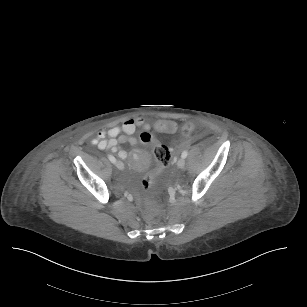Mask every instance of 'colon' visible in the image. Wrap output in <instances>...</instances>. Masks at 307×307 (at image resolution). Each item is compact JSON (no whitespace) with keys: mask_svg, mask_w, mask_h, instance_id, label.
<instances>
[{"mask_svg":"<svg viewBox=\"0 0 307 307\" xmlns=\"http://www.w3.org/2000/svg\"><path fill=\"white\" fill-rule=\"evenodd\" d=\"M154 130L157 133H175L178 130V123L175 120H157L154 123ZM192 131L193 124L189 121L185 122L181 127V133L183 135H189ZM140 137L144 142L152 145L153 155L158 163L156 170H150L148 176L141 178L143 189L149 190L153 183L161 178L167 170V166L170 164L172 158V151L168 146L159 143L156 138L150 136L148 131L142 133Z\"/></svg>","mask_w":307,"mask_h":307,"instance_id":"obj_1","label":"colon"}]
</instances>
